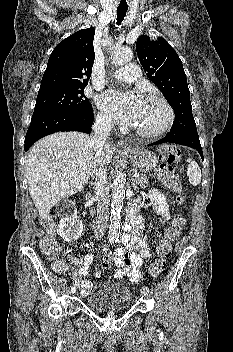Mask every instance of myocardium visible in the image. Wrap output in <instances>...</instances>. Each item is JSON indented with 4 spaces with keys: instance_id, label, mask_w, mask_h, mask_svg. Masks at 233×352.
Masks as SVG:
<instances>
[{
    "instance_id": "obj_1",
    "label": "myocardium",
    "mask_w": 233,
    "mask_h": 352,
    "mask_svg": "<svg viewBox=\"0 0 233 352\" xmlns=\"http://www.w3.org/2000/svg\"><path fill=\"white\" fill-rule=\"evenodd\" d=\"M143 100H157L159 101L166 109L167 111V118L165 123L158 129L154 131H143L137 128H134V131L136 132L137 135H139L142 138L146 139H152V138H157L164 133H166L170 127L172 126L174 119H175V112L171 104L168 102V100L158 94V93H149L143 97Z\"/></svg>"
}]
</instances>
